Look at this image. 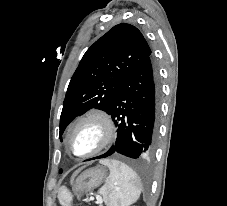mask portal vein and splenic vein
<instances>
[{"instance_id":"18ae733b","label":"portal vein and splenic vein","mask_w":227,"mask_h":206,"mask_svg":"<svg viewBox=\"0 0 227 206\" xmlns=\"http://www.w3.org/2000/svg\"><path fill=\"white\" fill-rule=\"evenodd\" d=\"M97 201L102 202V200H101V198H100V197H97Z\"/></svg>"}]
</instances>
